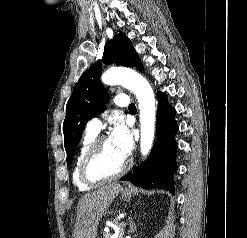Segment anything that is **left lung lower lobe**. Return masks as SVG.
Returning a JSON list of instances; mask_svg holds the SVG:
<instances>
[{
	"instance_id": "1",
	"label": "left lung lower lobe",
	"mask_w": 247,
	"mask_h": 238,
	"mask_svg": "<svg viewBox=\"0 0 247 238\" xmlns=\"http://www.w3.org/2000/svg\"><path fill=\"white\" fill-rule=\"evenodd\" d=\"M157 140L148 159L141 166H134L123 181H130L145 189L161 188L174 191L173 175L177 171L176 150L174 139L178 131L175 122L176 111L167 101L164 93H157Z\"/></svg>"
}]
</instances>
